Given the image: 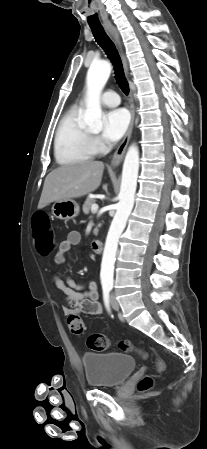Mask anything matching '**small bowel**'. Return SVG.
Wrapping results in <instances>:
<instances>
[{
    "label": "small bowel",
    "mask_w": 207,
    "mask_h": 449,
    "mask_svg": "<svg viewBox=\"0 0 207 449\" xmlns=\"http://www.w3.org/2000/svg\"><path fill=\"white\" fill-rule=\"evenodd\" d=\"M80 241L81 236L78 232H70L66 239L60 243L58 251L54 256V262L57 265H62L65 262L67 253L73 246L78 245ZM54 285L65 296L67 305L62 308L64 315L70 316L80 313L98 315L102 312L95 281L89 280L85 283H77L71 277H67L65 280L56 277Z\"/></svg>",
    "instance_id": "c3829d8e"
}]
</instances>
